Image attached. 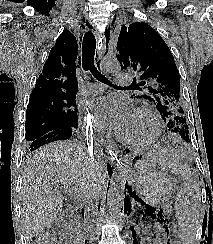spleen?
<instances>
[{
    "label": "spleen",
    "mask_w": 213,
    "mask_h": 244,
    "mask_svg": "<svg viewBox=\"0 0 213 244\" xmlns=\"http://www.w3.org/2000/svg\"><path fill=\"white\" fill-rule=\"evenodd\" d=\"M167 169L181 177L182 187L175 199L178 236L182 244H194L196 231L202 222L199 182L192 168L176 156L165 157Z\"/></svg>",
    "instance_id": "3e777b00"
}]
</instances>
